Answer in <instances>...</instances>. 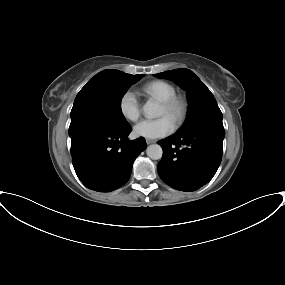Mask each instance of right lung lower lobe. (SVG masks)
<instances>
[{
	"label": "right lung lower lobe",
	"mask_w": 285,
	"mask_h": 285,
	"mask_svg": "<svg viewBox=\"0 0 285 285\" xmlns=\"http://www.w3.org/2000/svg\"><path fill=\"white\" fill-rule=\"evenodd\" d=\"M131 130L130 125L121 130L88 126L70 135L73 166L87 188L110 192L129 180L134 160L146 148L142 137L128 141Z\"/></svg>",
	"instance_id": "98d812e1"
}]
</instances>
